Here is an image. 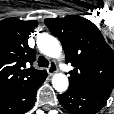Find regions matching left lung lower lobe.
Wrapping results in <instances>:
<instances>
[{"mask_svg": "<svg viewBox=\"0 0 114 114\" xmlns=\"http://www.w3.org/2000/svg\"><path fill=\"white\" fill-rule=\"evenodd\" d=\"M110 95L69 86V89L58 95L59 103L72 114H95L105 105Z\"/></svg>", "mask_w": 114, "mask_h": 114, "instance_id": "0a47b994", "label": "left lung lower lobe"}]
</instances>
